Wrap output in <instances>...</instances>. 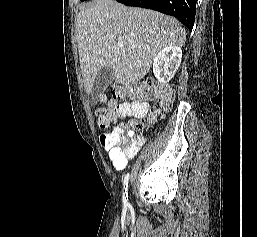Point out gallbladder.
Wrapping results in <instances>:
<instances>
[{"mask_svg": "<svg viewBox=\"0 0 257 237\" xmlns=\"http://www.w3.org/2000/svg\"><path fill=\"white\" fill-rule=\"evenodd\" d=\"M114 79V71L110 67L102 68L95 77L93 87L90 93L92 102H96L98 97L105 91V89L112 83Z\"/></svg>", "mask_w": 257, "mask_h": 237, "instance_id": "bac80fb5", "label": "gallbladder"}]
</instances>
